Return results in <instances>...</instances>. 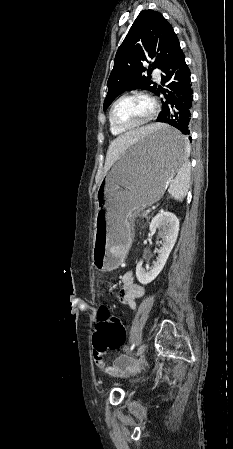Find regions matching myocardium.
Returning <instances> with one entry per match:
<instances>
[{"instance_id":"1","label":"myocardium","mask_w":233,"mask_h":449,"mask_svg":"<svg viewBox=\"0 0 233 449\" xmlns=\"http://www.w3.org/2000/svg\"><path fill=\"white\" fill-rule=\"evenodd\" d=\"M131 96H140V97H143L146 100H148V102L150 103V106H151L150 113L143 121H141L139 123L127 125V126L120 125L114 120V117H113L114 108L119 101H121L124 98L131 97ZM157 109H158L157 101L151 94H149L145 91H140V90L130 91V92L122 94L112 103L110 110H109V122L115 129H117L119 131L125 132V131H129V130L138 129V128H141V127L149 124L154 119V117L157 114Z\"/></svg>"}]
</instances>
